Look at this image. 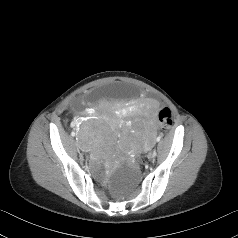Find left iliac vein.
<instances>
[{"instance_id":"left-iliac-vein-1","label":"left iliac vein","mask_w":238,"mask_h":238,"mask_svg":"<svg viewBox=\"0 0 238 238\" xmlns=\"http://www.w3.org/2000/svg\"><path fill=\"white\" fill-rule=\"evenodd\" d=\"M156 152H157V149H153V153H151V154L149 155V158H150L151 160H154V158H155V156H156Z\"/></svg>"}]
</instances>
